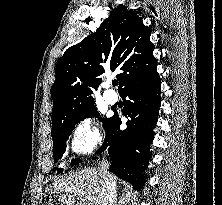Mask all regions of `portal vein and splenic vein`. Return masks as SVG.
Returning <instances> with one entry per match:
<instances>
[{
	"label": "portal vein and splenic vein",
	"mask_w": 222,
	"mask_h": 205,
	"mask_svg": "<svg viewBox=\"0 0 222 205\" xmlns=\"http://www.w3.org/2000/svg\"><path fill=\"white\" fill-rule=\"evenodd\" d=\"M80 195H81V196H83V195H84V193H81ZM83 205H84V204H83Z\"/></svg>",
	"instance_id": "1"
}]
</instances>
